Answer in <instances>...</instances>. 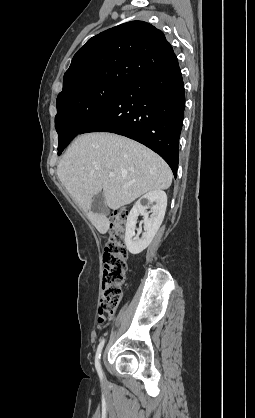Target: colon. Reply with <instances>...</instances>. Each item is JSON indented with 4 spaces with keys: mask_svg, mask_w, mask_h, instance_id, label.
<instances>
[{
    "mask_svg": "<svg viewBox=\"0 0 255 418\" xmlns=\"http://www.w3.org/2000/svg\"><path fill=\"white\" fill-rule=\"evenodd\" d=\"M128 219L125 208L113 214L112 230L103 253L102 295L98 311V321L103 323L118 307L122 294V284L127 276L128 251L125 246L124 228Z\"/></svg>",
    "mask_w": 255,
    "mask_h": 418,
    "instance_id": "5ec220e1",
    "label": "colon"
}]
</instances>
